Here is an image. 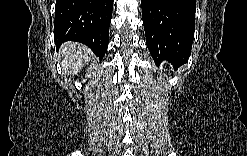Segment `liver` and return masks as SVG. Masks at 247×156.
Instances as JSON below:
<instances>
[{
    "instance_id": "6515ba94",
    "label": "liver",
    "mask_w": 247,
    "mask_h": 156,
    "mask_svg": "<svg viewBox=\"0 0 247 156\" xmlns=\"http://www.w3.org/2000/svg\"><path fill=\"white\" fill-rule=\"evenodd\" d=\"M92 52L83 44L66 42L62 45L58 57L67 74L78 73L92 59Z\"/></svg>"
}]
</instances>
